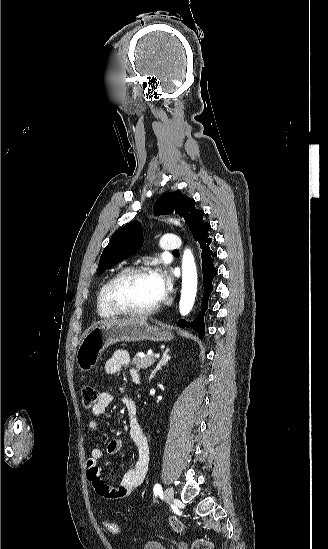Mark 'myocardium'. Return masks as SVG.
<instances>
[{
	"label": "myocardium",
	"instance_id": "1",
	"mask_svg": "<svg viewBox=\"0 0 328 549\" xmlns=\"http://www.w3.org/2000/svg\"><path fill=\"white\" fill-rule=\"evenodd\" d=\"M161 263L158 260H145L137 262L131 265L126 266L121 271H119L107 284L104 298L106 302V310L109 314L114 316H136L144 317L154 314L159 310L163 299H160L154 303L151 307L136 309V308H118L115 305L123 304L115 298V290L118 285L122 283L127 278L140 274V273H153L154 271L150 268L152 266H159Z\"/></svg>",
	"mask_w": 328,
	"mask_h": 549
}]
</instances>
